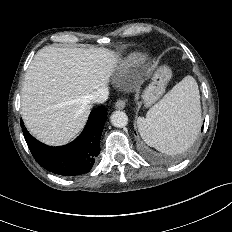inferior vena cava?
<instances>
[{
  "label": "inferior vena cava",
  "instance_id": "602c4592",
  "mask_svg": "<svg viewBox=\"0 0 232 232\" xmlns=\"http://www.w3.org/2000/svg\"><path fill=\"white\" fill-rule=\"evenodd\" d=\"M108 88H99L88 95L87 100L89 103H104L108 99Z\"/></svg>",
  "mask_w": 232,
  "mask_h": 232
}]
</instances>
